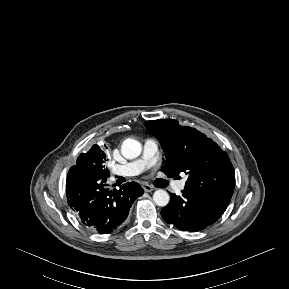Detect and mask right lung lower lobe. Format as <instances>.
Here are the masks:
<instances>
[{
    "mask_svg": "<svg viewBox=\"0 0 289 289\" xmlns=\"http://www.w3.org/2000/svg\"><path fill=\"white\" fill-rule=\"evenodd\" d=\"M143 194L136 183L123 184L109 191L105 179L76 167H71L66 179V196L70 207L89 229L106 234L122 224L134 201Z\"/></svg>",
    "mask_w": 289,
    "mask_h": 289,
    "instance_id": "obj_1",
    "label": "right lung lower lobe"
}]
</instances>
